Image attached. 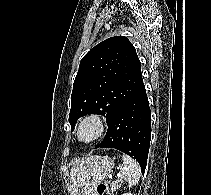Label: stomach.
<instances>
[{
	"instance_id": "1",
	"label": "stomach",
	"mask_w": 211,
	"mask_h": 195,
	"mask_svg": "<svg viewBox=\"0 0 211 195\" xmlns=\"http://www.w3.org/2000/svg\"><path fill=\"white\" fill-rule=\"evenodd\" d=\"M113 168L114 161L110 157L95 156L87 165L79 195H94V187L102 182L112 172Z\"/></svg>"
}]
</instances>
